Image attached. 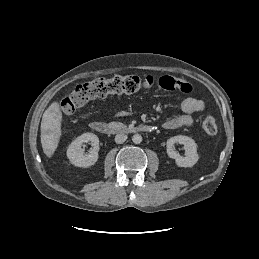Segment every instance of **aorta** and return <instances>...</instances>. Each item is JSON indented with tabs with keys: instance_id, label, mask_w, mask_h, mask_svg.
Instances as JSON below:
<instances>
[{
	"instance_id": "1",
	"label": "aorta",
	"mask_w": 259,
	"mask_h": 259,
	"mask_svg": "<svg viewBox=\"0 0 259 259\" xmlns=\"http://www.w3.org/2000/svg\"><path fill=\"white\" fill-rule=\"evenodd\" d=\"M132 141L135 144H140L142 142V136L140 134H134L132 137Z\"/></svg>"
}]
</instances>
